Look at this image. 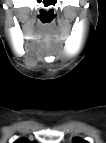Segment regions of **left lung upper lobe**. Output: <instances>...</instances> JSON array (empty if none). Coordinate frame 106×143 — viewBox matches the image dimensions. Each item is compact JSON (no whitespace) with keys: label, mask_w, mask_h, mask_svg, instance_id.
I'll return each instance as SVG.
<instances>
[{"label":"left lung upper lobe","mask_w":106,"mask_h":143,"mask_svg":"<svg viewBox=\"0 0 106 143\" xmlns=\"http://www.w3.org/2000/svg\"><path fill=\"white\" fill-rule=\"evenodd\" d=\"M73 142L74 143H87L85 140H83L81 138H77V137L73 139Z\"/></svg>","instance_id":"left-lung-upper-lobe-1"}]
</instances>
